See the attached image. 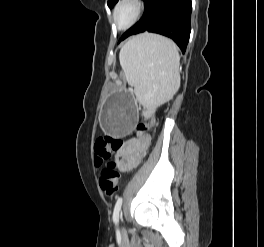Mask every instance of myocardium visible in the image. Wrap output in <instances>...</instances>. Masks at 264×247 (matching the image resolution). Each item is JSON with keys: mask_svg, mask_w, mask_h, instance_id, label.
I'll return each instance as SVG.
<instances>
[{"mask_svg": "<svg viewBox=\"0 0 264 247\" xmlns=\"http://www.w3.org/2000/svg\"><path fill=\"white\" fill-rule=\"evenodd\" d=\"M126 5L132 8V16L127 23L122 25L118 22V14L120 10ZM144 9H145V4L143 0H118L112 11L113 24L119 30L129 29L139 21V19L143 15Z\"/></svg>", "mask_w": 264, "mask_h": 247, "instance_id": "myocardium-1", "label": "myocardium"}]
</instances>
